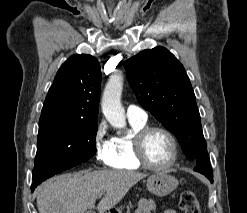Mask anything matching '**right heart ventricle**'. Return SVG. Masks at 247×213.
I'll return each instance as SVG.
<instances>
[{
  "mask_svg": "<svg viewBox=\"0 0 247 213\" xmlns=\"http://www.w3.org/2000/svg\"><path fill=\"white\" fill-rule=\"evenodd\" d=\"M130 130L125 135H119L112 139L113 159L111 165L116 169L138 170L141 166L133 156L132 141L135 133L146 126V121L129 120Z\"/></svg>",
  "mask_w": 247,
  "mask_h": 213,
  "instance_id": "right-heart-ventricle-1",
  "label": "right heart ventricle"
}]
</instances>
